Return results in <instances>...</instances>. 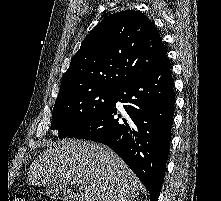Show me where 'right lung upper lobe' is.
Returning <instances> with one entry per match:
<instances>
[{
  "mask_svg": "<svg viewBox=\"0 0 221 201\" xmlns=\"http://www.w3.org/2000/svg\"><path fill=\"white\" fill-rule=\"evenodd\" d=\"M166 60L165 46L147 16L134 10L114 13L82 42L63 75L58 98L93 88L115 90Z\"/></svg>",
  "mask_w": 221,
  "mask_h": 201,
  "instance_id": "cb5924a9",
  "label": "right lung upper lobe"
}]
</instances>
